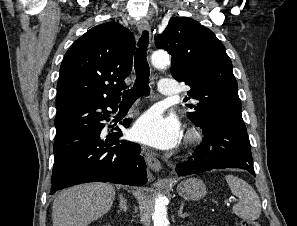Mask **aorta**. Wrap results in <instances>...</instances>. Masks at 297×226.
<instances>
[{"instance_id": "aorta-1", "label": "aorta", "mask_w": 297, "mask_h": 226, "mask_svg": "<svg viewBox=\"0 0 297 226\" xmlns=\"http://www.w3.org/2000/svg\"><path fill=\"white\" fill-rule=\"evenodd\" d=\"M151 62L156 68H165L170 64L169 55L163 51H156L151 56ZM152 218L154 226H168L166 198L161 194L155 199Z\"/></svg>"}]
</instances>
